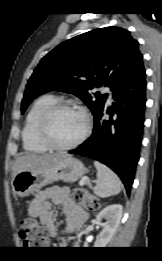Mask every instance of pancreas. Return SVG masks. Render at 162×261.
<instances>
[{
  "label": "pancreas",
  "mask_w": 162,
  "mask_h": 261,
  "mask_svg": "<svg viewBox=\"0 0 162 261\" xmlns=\"http://www.w3.org/2000/svg\"><path fill=\"white\" fill-rule=\"evenodd\" d=\"M84 184L90 185V181L89 180H85Z\"/></svg>",
  "instance_id": "pancreas-1"
}]
</instances>
